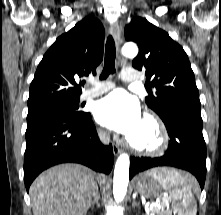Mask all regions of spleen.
Listing matches in <instances>:
<instances>
[{
	"label": "spleen",
	"instance_id": "spleen-1",
	"mask_svg": "<svg viewBox=\"0 0 221 215\" xmlns=\"http://www.w3.org/2000/svg\"><path fill=\"white\" fill-rule=\"evenodd\" d=\"M153 172L156 174V171ZM157 179L163 188L169 191L178 215H196L197 204L192 189L196 187L197 182L193 176L185 172L164 169L157 174Z\"/></svg>",
	"mask_w": 221,
	"mask_h": 215
}]
</instances>
